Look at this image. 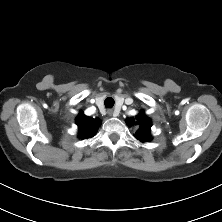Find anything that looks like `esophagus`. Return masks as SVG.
Masks as SVG:
<instances>
[{"mask_svg": "<svg viewBox=\"0 0 222 222\" xmlns=\"http://www.w3.org/2000/svg\"><path fill=\"white\" fill-rule=\"evenodd\" d=\"M107 113H108L109 116H114V117L117 116V114H115V112H113L112 109L107 110Z\"/></svg>", "mask_w": 222, "mask_h": 222, "instance_id": "obj_1", "label": "esophagus"}]
</instances>
